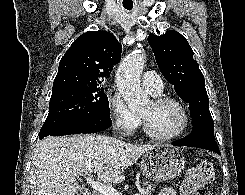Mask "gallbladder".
<instances>
[{
    "instance_id": "bac80fb5",
    "label": "gallbladder",
    "mask_w": 245,
    "mask_h": 195,
    "mask_svg": "<svg viewBox=\"0 0 245 195\" xmlns=\"http://www.w3.org/2000/svg\"><path fill=\"white\" fill-rule=\"evenodd\" d=\"M78 195H85V191L83 189H80Z\"/></svg>"
}]
</instances>
